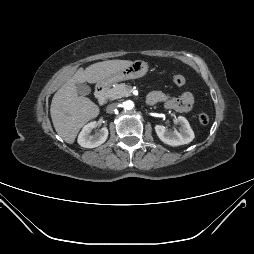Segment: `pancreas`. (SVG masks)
Masks as SVG:
<instances>
[{
    "instance_id": "pancreas-1",
    "label": "pancreas",
    "mask_w": 254,
    "mask_h": 254,
    "mask_svg": "<svg viewBox=\"0 0 254 254\" xmlns=\"http://www.w3.org/2000/svg\"><path fill=\"white\" fill-rule=\"evenodd\" d=\"M131 95V86L124 83L115 84L114 87L106 92V97L109 100H116L122 97H127Z\"/></svg>"
}]
</instances>
